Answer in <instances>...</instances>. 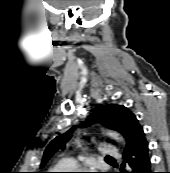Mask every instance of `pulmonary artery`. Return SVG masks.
<instances>
[{"label":"pulmonary artery","instance_id":"obj_1","mask_svg":"<svg viewBox=\"0 0 170 173\" xmlns=\"http://www.w3.org/2000/svg\"><path fill=\"white\" fill-rule=\"evenodd\" d=\"M99 151L101 155H108L109 157H118L120 155L118 149L114 146H102Z\"/></svg>","mask_w":170,"mask_h":173}]
</instances>
